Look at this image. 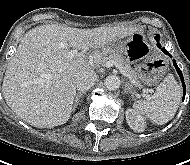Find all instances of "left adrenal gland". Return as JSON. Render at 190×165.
I'll use <instances>...</instances> for the list:
<instances>
[{
	"label": "left adrenal gland",
	"mask_w": 190,
	"mask_h": 165,
	"mask_svg": "<svg viewBox=\"0 0 190 165\" xmlns=\"http://www.w3.org/2000/svg\"><path fill=\"white\" fill-rule=\"evenodd\" d=\"M125 93L126 94H131V86H130V84L129 83H126L125 84ZM132 96V95H131Z\"/></svg>",
	"instance_id": "a2214340"
}]
</instances>
